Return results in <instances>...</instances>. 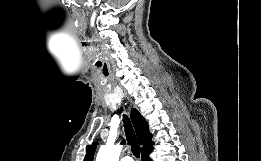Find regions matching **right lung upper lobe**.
Segmentation results:
<instances>
[{"label":"right lung upper lobe","mask_w":261,"mask_h":161,"mask_svg":"<svg viewBox=\"0 0 261 161\" xmlns=\"http://www.w3.org/2000/svg\"><path fill=\"white\" fill-rule=\"evenodd\" d=\"M131 119L138 137L139 144L143 146L142 154L151 151L153 149V142H151L152 135L149 132L146 120L136 109H132ZM96 146L97 143L87 145L84 161H93Z\"/></svg>","instance_id":"1"}]
</instances>
